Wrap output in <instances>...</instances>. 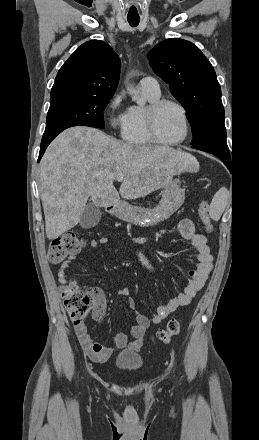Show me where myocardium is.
Returning a JSON list of instances; mask_svg holds the SVG:
<instances>
[{
	"label": "myocardium",
	"mask_w": 259,
	"mask_h": 440,
	"mask_svg": "<svg viewBox=\"0 0 259 440\" xmlns=\"http://www.w3.org/2000/svg\"><path fill=\"white\" fill-rule=\"evenodd\" d=\"M166 105H173L179 109L181 116H182V119H183V124H184L183 136L180 139H178L176 141H172V142H166V141L162 140L159 137L158 132H157L158 114L161 111V109L163 107H165ZM145 117H146V127H147L148 135H149L150 139L152 140V142L155 144H158L161 146H167V147L177 146L179 144H182L189 136L190 124H189L187 111H186L185 107L180 102H178L174 99L162 98V99H158L155 102H152L146 109Z\"/></svg>",
	"instance_id": "1"
}]
</instances>
